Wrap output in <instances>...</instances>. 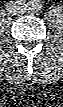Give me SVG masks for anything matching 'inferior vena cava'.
I'll return each instance as SVG.
<instances>
[{
	"instance_id": "602c4592",
	"label": "inferior vena cava",
	"mask_w": 63,
	"mask_h": 107,
	"mask_svg": "<svg viewBox=\"0 0 63 107\" xmlns=\"http://www.w3.org/2000/svg\"><path fill=\"white\" fill-rule=\"evenodd\" d=\"M7 10L13 15H19L26 12V6L22 1H11L7 4Z\"/></svg>"
}]
</instances>
